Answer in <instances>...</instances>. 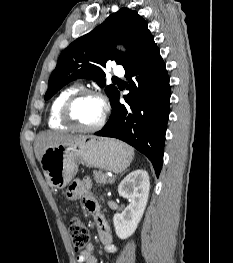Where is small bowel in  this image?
<instances>
[{
    "label": "small bowel",
    "mask_w": 233,
    "mask_h": 263,
    "mask_svg": "<svg viewBox=\"0 0 233 263\" xmlns=\"http://www.w3.org/2000/svg\"><path fill=\"white\" fill-rule=\"evenodd\" d=\"M91 181L88 178L82 180H75L67 190L69 199H76L81 197L85 209L91 213L96 221L98 236L104 246L105 253H117L118 248L112 243V235L109 226L104 217L99 212V206L91 192ZM94 248L89 243L86 249L81 252L76 260L78 263H97V259L93 252ZM115 263V262H113Z\"/></svg>",
    "instance_id": "c3829d8e"
}]
</instances>
